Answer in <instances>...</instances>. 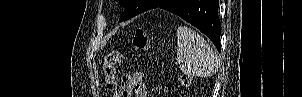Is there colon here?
I'll list each match as a JSON object with an SVG mask.
<instances>
[{"mask_svg":"<svg viewBox=\"0 0 302 97\" xmlns=\"http://www.w3.org/2000/svg\"><path fill=\"white\" fill-rule=\"evenodd\" d=\"M134 46L142 51H150L151 45L146 34V31L142 28H137L133 36ZM124 60V56L121 52L111 51L103 56V73L106 88L109 91H114L117 87V74L116 67L120 65ZM180 82L183 85H188L190 83V78L188 76H182Z\"/></svg>","mask_w":302,"mask_h":97,"instance_id":"5ec220e1","label":"colon"}]
</instances>
